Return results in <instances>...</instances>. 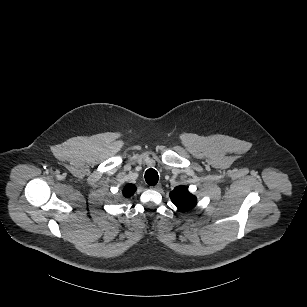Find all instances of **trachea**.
Listing matches in <instances>:
<instances>
[{
    "label": "trachea",
    "instance_id": "3493384b",
    "mask_svg": "<svg viewBox=\"0 0 307 307\" xmlns=\"http://www.w3.org/2000/svg\"><path fill=\"white\" fill-rule=\"evenodd\" d=\"M144 177H145L146 183L151 186L156 185L159 180L157 171L152 168L146 171Z\"/></svg>",
    "mask_w": 307,
    "mask_h": 307
}]
</instances>
